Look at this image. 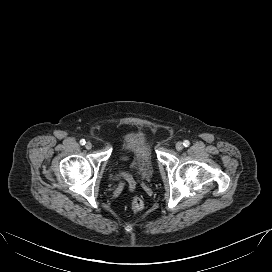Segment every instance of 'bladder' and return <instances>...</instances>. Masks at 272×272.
Masks as SVG:
<instances>
[{"label": "bladder", "mask_w": 272, "mask_h": 272, "mask_svg": "<svg viewBox=\"0 0 272 272\" xmlns=\"http://www.w3.org/2000/svg\"><path fill=\"white\" fill-rule=\"evenodd\" d=\"M123 152L128 153L129 165L140 181H148L153 176V163L150 147L141 141L126 144ZM116 178V174H113Z\"/></svg>", "instance_id": "obj_1"}]
</instances>
